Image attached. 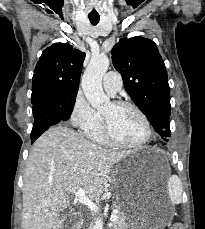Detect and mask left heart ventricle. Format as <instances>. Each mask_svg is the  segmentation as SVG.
<instances>
[{"instance_id": "obj_1", "label": "left heart ventricle", "mask_w": 205, "mask_h": 229, "mask_svg": "<svg viewBox=\"0 0 205 229\" xmlns=\"http://www.w3.org/2000/svg\"><path fill=\"white\" fill-rule=\"evenodd\" d=\"M114 136L125 143L140 141L145 135V126L139 115L130 107H116L109 103L103 110Z\"/></svg>"}]
</instances>
